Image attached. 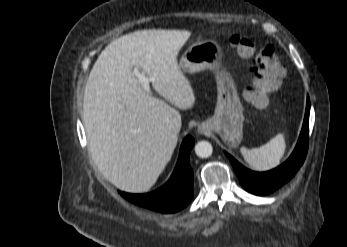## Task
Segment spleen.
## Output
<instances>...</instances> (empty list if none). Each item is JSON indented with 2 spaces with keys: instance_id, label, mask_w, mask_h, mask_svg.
<instances>
[{
  "instance_id": "spleen-1",
  "label": "spleen",
  "mask_w": 347,
  "mask_h": 247,
  "mask_svg": "<svg viewBox=\"0 0 347 247\" xmlns=\"http://www.w3.org/2000/svg\"><path fill=\"white\" fill-rule=\"evenodd\" d=\"M285 151V135L279 133L259 148L243 149L242 155L253 170L267 171L279 165Z\"/></svg>"
}]
</instances>
